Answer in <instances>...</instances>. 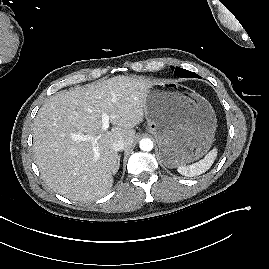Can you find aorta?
Wrapping results in <instances>:
<instances>
[{"label": "aorta", "mask_w": 269, "mask_h": 269, "mask_svg": "<svg viewBox=\"0 0 269 269\" xmlns=\"http://www.w3.org/2000/svg\"><path fill=\"white\" fill-rule=\"evenodd\" d=\"M139 147L143 151H151L153 149V142L149 138H144L140 141Z\"/></svg>", "instance_id": "1"}]
</instances>
